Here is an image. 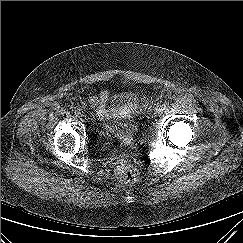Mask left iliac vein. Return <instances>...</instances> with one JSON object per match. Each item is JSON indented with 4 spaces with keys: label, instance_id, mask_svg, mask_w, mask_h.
I'll return each mask as SVG.
<instances>
[{
    "label": "left iliac vein",
    "instance_id": "left-iliac-vein-1",
    "mask_svg": "<svg viewBox=\"0 0 243 243\" xmlns=\"http://www.w3.org/2000/svg\"><path fill=\"white\" fill-rule=\"evenodd\" d=\"M154 112L156 115H160L162 113V109L157 107Z\"/></svg>",
    "mask_w": 243,
    "mask_h": 243
}]
</instances>
